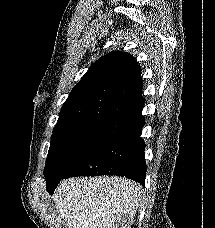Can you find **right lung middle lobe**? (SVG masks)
I'll list each match as a JSON object with an SVG mask.
<instances>
[{
  "label": "right lung middle lobe",
  "instance_id": "dd1d6c3e",
  "mask_svg": "<svg viewBox=\"0 0 215 228\" xmlns=\"http://www.w3.org/2000/svg\"><path fill=\"white\" fill-rule=\"evenodd\" d=\"M128 126L120 121L95 119L53 132L44 169L48 193H53L74 166Z\"/></svg>",
  "mask_w": 215,
  "mask_h": 228
}]
</instances>
